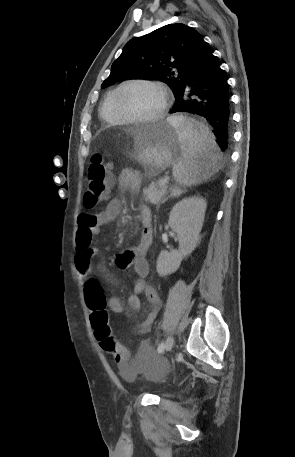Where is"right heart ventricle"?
I'll return each mask as SVG.
<instances>
[{"instance_id":"e07e8e85","label":"right heart ventricle","mask_w":295,"mask_h":457,"mask_svg":"<svg viewBox=\"0 0 295 457\" xmlns=\"http://www.w3.org/2000/svg\"><path fill=\"white\" fill-rule=\"evenodd\" d=\"M117 88L108 92L100 106V115L102 119L111 125H119L126 122L115 112L113 108V98Z\"/></svg>"}]
</instances>
